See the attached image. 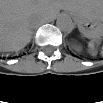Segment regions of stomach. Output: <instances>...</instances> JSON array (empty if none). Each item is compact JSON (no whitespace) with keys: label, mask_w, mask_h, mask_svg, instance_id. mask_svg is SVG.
I'll return each instance as SVG.
<instances>
[{"label":"stomach","mask_w":103,"mask_h":103,"mask_svg":"<svg viewBox=\"0 0 103 103\" xmlns=\"http://www.w3.org/2000/svg\"><path fill=\"white\" fill-rule=\"evenodd\" d=\"M70 14L79 31L87 38H98L103 31V3L100 0H77Z\"/></svg>","instance_id":"stomach-1"}]
</instances>
